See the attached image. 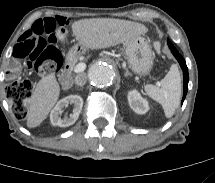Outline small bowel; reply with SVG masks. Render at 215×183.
I'll return each instance as SVG.
<instances>
[{
	"mask_svg": "<svg viewBox=\"0 0 215 183\" xmlns=\"http://www.w3.org/2000/svg\"><path fill=\"white\" fill-rule=\"evenodd\" d=\"M59 17H61V16H59ZM61 18L65 19V21H66V23H67V19H66L65 17H61Z\"/></svg>",
	"mask_w": 215,
	"mask_h": 183,
	"instance_id": "1",
	"label": "small bowel"
}]
</instances>
